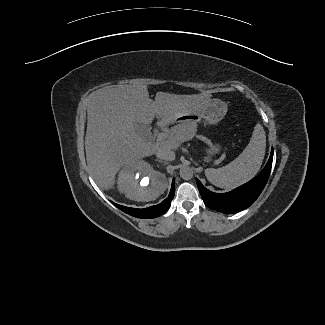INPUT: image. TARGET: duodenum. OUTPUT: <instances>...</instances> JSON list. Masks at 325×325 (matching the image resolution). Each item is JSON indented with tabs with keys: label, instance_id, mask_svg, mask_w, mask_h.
<instances>
[{
	"label": "duodenum",
	"instance_id": "1",
	"mask_svg": "<svg viewBox=\"0 0 325 325\" xmlns=\"http://www.w3.org/2000/svg\"><path fill=\"white\" fill-rule=\"evenodd\" d=\"M156 126L157 127H161L162 126V123H157Z\"/></svg>",
	"mask_w": 325,
	"mask_h": 325
}]
</instances>
